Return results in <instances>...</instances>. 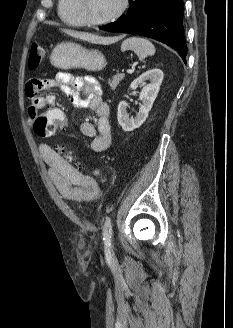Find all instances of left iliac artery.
Masks as SVG:
<instances>
[{
	"instance_id": "1",
	"label": "left iliac artery",
	"mask_w": 233,
	"mask_h": 328,
	"mask_svg": "<svg viewBox=\"0 0 233 328\" xmlns=\"http://www.w3.org/2000/svg\"><path fill=\"white\" fill-rule=\"evenodd\" d=\"M112 223L110 218H106L103 227V240L106 250L111 249Z\"/></svg>"
}]
</instances>
